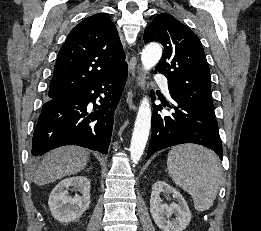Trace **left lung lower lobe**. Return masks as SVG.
Segmentation results:
<instances>
[{
    "mask_svg": "<svg viewBox=\"0 0 261 231\" xmlns=\"http://www.w3.org/2000/svg\"><path fill=\"white\" fill-rule=\"evenodd\" d=\"M155 99L154 96H152ZM175 113L170 116L158 114L161 105H154L152 114V136L147 158L164 148L195 143L214 150L222 159L223 149L218 131V123L212 113L173 98ZM169 106V104H163Z\"/></svg>",
    "mask_w": 261,
    "mask_h": 231,
    "instance_id": "left-lung-lower-lobe-1",
    "label": "left lung lower lobe"
}]
</instances>
